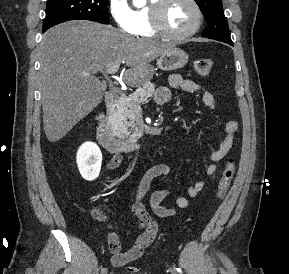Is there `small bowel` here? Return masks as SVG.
Instances as JSON below:
<instances>
[{"instance_id":"small-bowel-1","label":"small bowel","mask_w":289,"mask_h":274,"mask_svg":"<svg viewBox=\"0 0 289 274\" xmlns=\"http://www.w3.org/2000/svg\"><path fill=\"white\" fill-rule=\"evenodd\" d=\"M171 88L180 89L187 93L199 92L203 103L210 109L215 108V98L211 92L203 88L193 80L184 79L180 75L174 74L169 78ZM171 98V91L168 87H159L155 94V101L159 104L167 103ZM239 125L236 121L225 123V135L217 150L213 151L209 160L210 163L205 167V174L213 176L217 172L216 163L223 159L231 150L235 137L238 133ZM122 161L120 155H115L107 164L108 169L117 168ZM170 168L166 164H157L146 171L142 177L135 195V202L132 206V212L138 219V227L141 229L140 235L135 243L127 250L122 251L119 238L111 233L108 237V247L112 253L111 262L115 267L124 266L140 258L145 249L154 241L158 233V223L156 218H166L176 213V208L162 205V201L170 194V189L165 187L155 191L149 200L150 210L143 204L142 200L150 188L152 181L158 177L168 176ZM204 180H196L186 188V194L190 198L197 197L205 188ZM175 204L178 209L189 207L190 201L187 197L179 195L175 198Z\"/></svg>"}]
</instances>
